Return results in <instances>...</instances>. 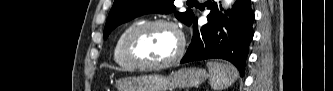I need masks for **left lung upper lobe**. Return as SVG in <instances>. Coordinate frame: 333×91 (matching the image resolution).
<instances>
[{
    "label": "left lung upper lobe",
    "instance_id": "left-lung-upper-lobe-1",
    "mask_svg": "<svg viewBox=\"0 0 333 91\" xmlns=\"http://www.w3.org/2000/svg\"><path fill=\"white\" fill-rule=\"evenodd\" d=\"M173 2L174 0H115L105 24L104 39L118 25L137 16L147 13L164 14L174 12L176 7ZM175 16L186 25H191L194 20V13L191 9H187L183 13L176 12Z\"/></svg>",
    "mask_w": 333,
    "mask_h": 91
}]
</instances>
